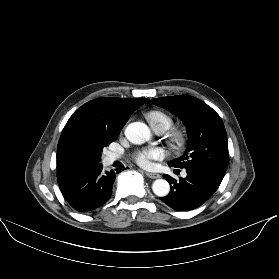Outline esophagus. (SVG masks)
<instances>
[{
	"mask_svg": "<svg viewBox=\"0 0 279 279\" xmlns=\"http://www.w3.org/2000/svg\"><path fill=\"white\" fill-rule=\"evenodd\" d=\"M146 176L152 179L160 178V174L158 173H151V172H145Z\"/></svg>",
	"mask_w": 279,
	"mask_h": 279,
	"instance_id": "esophagus-1",
	"label": "esophagus"
}]
</instances>
